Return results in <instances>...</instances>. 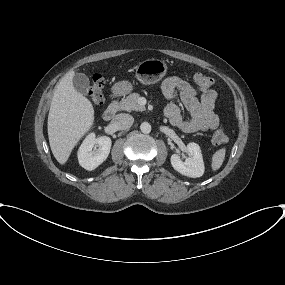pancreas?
Listing matches in <instances>:
<instances>
[{
	"mask_svg": "<svg viewBox=\"0 0 285 285\" xmlns=\"http://www.w3.org/2000/svg\"><path fill=\"white\" fill-rule=\"evenodd\" d=\"M140 95L138 93H131L125 99H122L120 102L114 101L112 106L115 110L123 111H144L145 106H142L138 103Z\"/></svg>",
	"mask_w": 285,
	"mask_h": 285,
	"instance_id": "pancreas-1",
	"label": "pancreas"
}]
</instances>
